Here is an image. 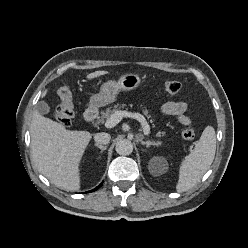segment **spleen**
Returning <instances> with one entry per match:
<instances>
[{"label":"spleen","instance_id":"obj_1","mask_svg":"<svg viewBox=\"0 0 248 248\" xmlns=\"http://www.w3.org/2000/svg\"><path fill=\"white\" fill-rule=\"evenodd\" d=\"M216 151V134L212 126H207L195 148L182 161L176 191L186 192L194 187L210 168Z\"/></svg>","mask_w":248,"mask_h":248}]
</instances>
